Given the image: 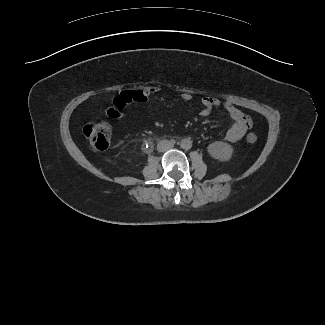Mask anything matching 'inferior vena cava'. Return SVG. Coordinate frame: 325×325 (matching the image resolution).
<instances>
[{"label":"inferior vena cava","mask_w":325,"mask_h":325,"mask_svg":"<svg viewBox=\"0 0 325 325\" xmlns=\"http://www.w3.org/2000/svg\"><path fill=\"white\" fill-rule=\"evenodd\" d=\"M173 143L171 142V141H169V140H162V141H160L159 143H158V145H157V150L159 151V152H165V151H167V150H169V149H171V148H173Z\"/></svg>","instance_id":"inferior-vena-cava-1"}]
</instances>
